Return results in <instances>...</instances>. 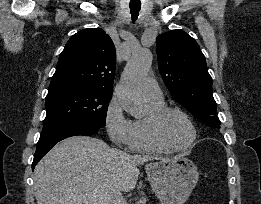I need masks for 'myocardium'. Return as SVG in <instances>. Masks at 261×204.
Here are the masks:
<instances>
[{"instance_id":"1","label":"myocardium","mask_w":261,"mask_h":204,"mask_svg":"<svg viewBox=\"0 0 261 204\" xmlns=\"http://www.w3.org/2000/svg\"><path fill=\"white\" fill-rule=\"evenodd\" d=\"M171 114H178L182 116L188 122V124L192 129V138L184 146L174 145L167 139V137L164 134V130H163L164 122L166 118ZM150 125H151L152 133L154 137L157 139V141L172 151H184L189 149L195 143L198 136L197 128L192 118L184 110L178 107L165 106L162 109L158 110L151 116Z\"/></svg>"}]
</instances>
